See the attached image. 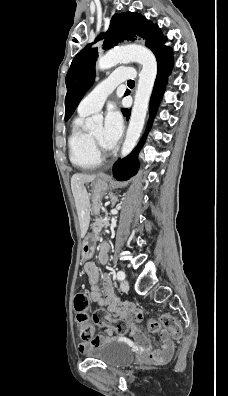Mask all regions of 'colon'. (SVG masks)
Wrapping results in <instances>:
<instances>
[{
	"instance_id": "1",
	"label": "colon",
	"mask_w": 228,
	"mask_h": 396,
	"mask_svg": "<svg viewBox=\"0 0 228 396\" xmlns=\"http://www.w3.org/2000/svg\"><path fill=\"white\" fill-rule=\"evenodd\" d=\"M90 306V300L85 293H79L74 299V307L77 311V323L81 330V336L83 339L90 338L92 332V324L89 321L85 311ZM93 321L96 325L108 326L114 330L116 334L123 335L128 330L126 321L120 319H112L106 310H97L93 316ZM148 328L152 332L160 331L161 327L170 332L171 336L175 340L181 339L183 335V328L181 323L169 314H162L160 321L149 319Z\"/></svg>"
}]
</instances>
